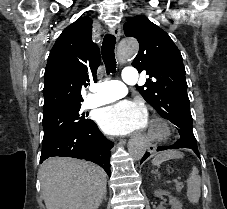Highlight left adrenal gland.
I'll use <instances>...</instances> for the list:
<instances>
[{"instance_id":"1","label":"left adrenal gland","mask_w":227,"mask_h":209,"mask_svg":"<svg viewBox=\"0 0 227 209\" xmlns=\"http://www.w3.org/2000/svg\"><path fill=\"white\" fill-rule=\"evenodd\" d=\"M155 173H156V175H158V171H155ZM158 177H159V175H158Z\"/></svg>"}]
</instances>
